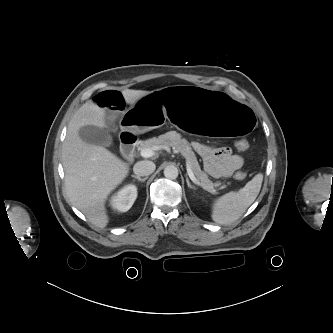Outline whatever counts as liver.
<instances>
[{
    "label": "liver",
    "mask_w": 333,
    "mask_h": 333,
    "mask_svg": "<svg viewBox=\"0 0 333 333\" xmlns=\"http://www.w3.org/2000/svg\"><path fill=\"white\" fill-rule=\"evenodd\" d=\"M121 93L127 104H134L149 91L125 89ZM91 125L106 127L105 109L92 100L74 114L68 125L62 146L64 193L93 224L104 228L109 221L106 199L128 175L129 166L103 146L81 139L80 128Z\"/></svg>",
    "instance_id": "6515ba94"
}]
</instances>
